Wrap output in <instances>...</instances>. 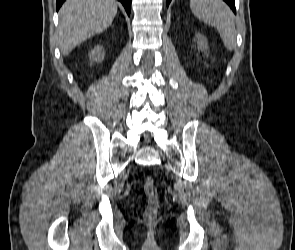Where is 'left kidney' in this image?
Masks as SVG:
<instances>
[{"label": "left kidney", "instance_id": "obj_1", "mask_svg": "<svg viewBox=\"0 0 295 250\" xmlns=\"http://www.w3.org/2000/svg\"><path fill=\"white\" fill-rule=\"evenodd\" d=\"M196 39L199 50L205 51L208 49V42L203 35H201L200 33H196Z\"/></svg>", "mask_w": 295, "mask_h": 250}]
</instances>
